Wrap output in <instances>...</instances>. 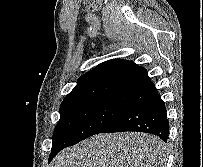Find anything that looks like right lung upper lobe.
Returning a JSON list of instances; mask_svg holds the SVG:
<instances>
[{
	"mask_svg": "<svg viewBox=\"0 0 203 167\" xmlns=\"http://www.w3.org/2000/svg\"><path fill=\"white\" fill-rule=\"evenodd\" d=\"M146 69L132 61H106L78 79L61 104L82 99H103L131 106L156 92Z\"/></svg>",
	"mask_w": 203,
	"mask_h": 167,
	"instance_id": "cb5924a9",
	"label": "right lung upper lobe"
}]
</instances>
